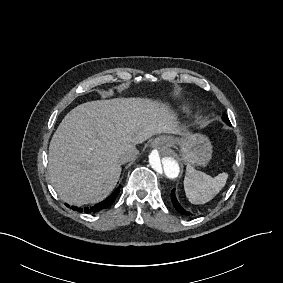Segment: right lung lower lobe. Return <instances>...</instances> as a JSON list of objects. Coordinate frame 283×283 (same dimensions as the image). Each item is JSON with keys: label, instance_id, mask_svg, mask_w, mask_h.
<instances>
[{"label": "right lung lower lobe", "instance_id": "right-lung-lower-lobe-1", "mask_svg": "<svg viewBox=\"0 0 283 283\" xmlns=\"http://www.w3.org/2000/svg\"><path fill=\"white\" fill-rule=\"evenodd\" d=\"M120 192V187H118L107 199L104 201L96 204L95 206L92 207H86L84 209H77L79 212H85V213H96L99 212L100 210L108 208L116 199ZM77 207L73 206V210H75Z\"/></svg>", "mask_w": 283, "mask_h": 283}]
</instances>
